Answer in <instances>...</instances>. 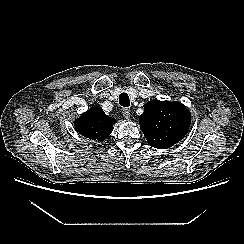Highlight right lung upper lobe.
Wrapping results in <instances>:
<instances>
[{
    "label": "right lung upper lobe",
    "instance_id": "1",
    "mask_svg": "<svg viewBox=\"0 0 244 244\" xmlns=\"http://www.w3.org/2000/svg\"><path fill=\"white\" fill-rule=\"evenodd\" d=\"M115 119L109 117L104 111L94 106L84 112L75 122V129L84 137L91 140H105L113 129Z\"/></svg>",
    "mask_w": 244,
    "mask_h": 244
}]
</instances>
